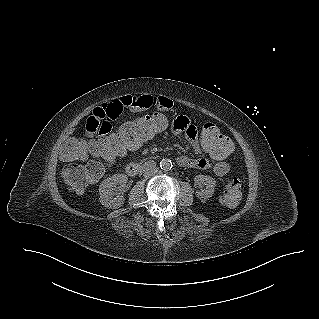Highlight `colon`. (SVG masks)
<instances>
[{"instance_id":"1","label":"colon","mask_w":319,"mask_h":319,"mask_svg":"<svg viewBox=\"0 0 319 319\" xmlns=\"http://www.w3.org/2000/svg\"><path fill=\"white\" fill-rule=\"evenodd\" d=\"M169 126L167 116L156 112L151 115H136L135 120L111 128L99 138H67L61 150L62 158L68 162L62 170L64 182L72 191H82L90 182L102 176L105 163L115 166L118 158L138 149L140 145L162 137ZM198 139L207 153L219 161L230 159L236 151L234 140L217 125L204 126ZM85 151L90 161L86 164L77 163L76 161L84 158ZM241 196V182L232 178L226 183L221 200L226 206L233 207L240 202Z\"/></svg>"}]
</instances>
